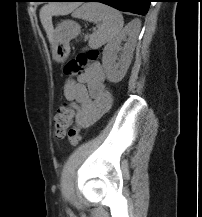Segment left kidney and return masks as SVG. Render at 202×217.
<instances>
[{
	"label": "left kidney",
	"mask_w": 202,
	"mask_h": 217,
	"mask_svg": "<svg viewBox=\"0 0 202 217\" xmlns=\"http://www.w3.org/2000/svg\"><path fill=\"white\" fill-rule=\"evenodd\" d=\"M139 33L132 24L128 25L119 35L104 47L102 64L107 79L112 83L120 82L127 73L133 57L136 37ZM129 35L128 41L122 47L121 42ZM120 52V58L117 54ZM118 60V62H116Z\"/></svg>",
	"instance_id": "1"
}]
</instances>
